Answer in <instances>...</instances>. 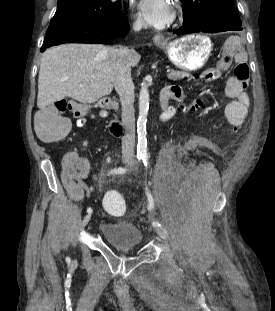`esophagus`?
<instances>
[{"mask_svg":"<svg viewBox=\"0 0 275 311\" xmlns=\"http://www.w3.org/2000/svg\"><path fill=\"white\" fill-rule=\"evenodd\" d=\"M154 43L163 44L165 43V38L162 34H156L153 38Z\"/></svg>","mask_w":275,"mask_h":311,"instance_id":"1","label":"esophagus"}]
</instances>
